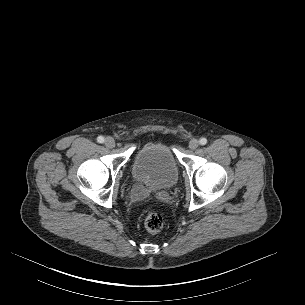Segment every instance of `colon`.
Instances as JSON below:
<instances>
[{
	"instance_id": "colon-1",
	"label": "colon",
	"mask_w": 305,
	"mask_h": 305,
	"mask_svg": "<svg viewBox=\"0 0 305 305\" xmlns=\"http://www.w3.org/2000/svg\"><path fill=\"white\" fill-rule=\"evenodd\" d=\"M144 226L149 232L157 233L163 227V218L156 212L148 211L144 214Z\"/></svg>"
}]
</instances>
